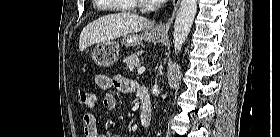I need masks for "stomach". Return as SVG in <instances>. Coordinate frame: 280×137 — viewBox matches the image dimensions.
<instances>
[{
  "instance_id": "obj_1",
  "label": "stomach",
  "mask_w": 280,
  "mask_h": 137,
  "mask_svg": "<svg viewBox=\"0 0 280 137\" xmlns=\"http://www.w3.org/2000/svg\"><path fill=\"white\" fill-rule=\"evenodd\" d=\"M164 37L155 25H150L142 32L129 33L123 36L121 43L126 47H135L142 41L158 43ZM119 43L108 41L99 43L92 52V58L99 67H108L113 65L119 58Z\"/></svg>"
}]
</instances>
